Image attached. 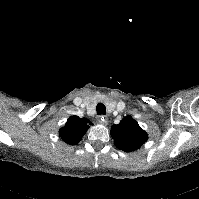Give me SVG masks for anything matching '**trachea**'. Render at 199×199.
Masks as SVG:
<instances>
[{
    "label": "trachea",
    "mask_w": 199,
    "mask_h": 199,
    "mask_svg": "<svg viewBox=\"0 0 199 199\" xmlns=\"http://www.w3.org/2000/svg\"><path fill=\"white\" fill-rule=\"evenodd\" d=\"M96 111L98 115L106 114V107L103 103H98L96 106Z\"/></svg>",
    "instance_id": "trachea-1"
}]
</instances>
